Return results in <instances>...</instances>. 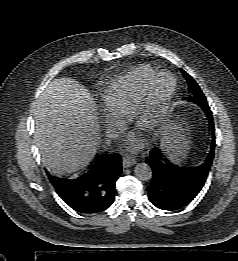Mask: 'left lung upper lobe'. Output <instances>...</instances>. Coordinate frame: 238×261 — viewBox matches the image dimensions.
Returning a JSON list of instances; mask_svg holds the SVG:
<instances>
[{
  "label": "left lung upper lobe",
  "mask_w": 238,
  "mask_h": 261,
  "mask_svg": "<svg viewBox=\"0 0 238 261\" xmlns=\"http://www.w3.org/2000/svg\"><path fill=\"white\" fill-rule=\"evenodd\" d=\"M182 74L185 76L187 82H188V89L192 93L191 96L187 97L186 99L190 102H194L199 105H208L206 97L204 96L202 90L200 89L199 85L196 83V81L184 70L180 69Z\"/></svg>",
  "instance_id": "left-lung-upper-lobe-1"
}]
</instances>
